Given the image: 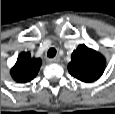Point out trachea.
I'll return each mask as SVG.
<instances>
[{
    "label": "trachea",
    "mask_w": 115,
    "mask_h": 114,
    "mask_svg": "<svg viewBox=\"0 0 115 114\" xmlns=\"http://www.w3.org/2000/svg\"><path fill=\"white\" fill-rule=\"evenodd\" d=\"M55 55H56V49H55V48H50V49L48 50V52H47V56H48L49 58H53V57H55Z\"/></svg>",
    "instance_id": "obj_1"
}]
</instances>
